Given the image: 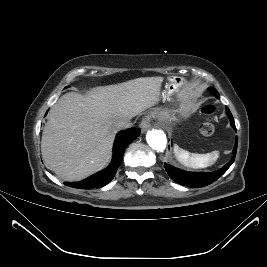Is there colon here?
I'll list each match as a JSON object with an SVG mask.
<instances>
[{"label": "colon", "mask_w": 267, "mask_h": 267, "mask_svg": "<svg viewBox=\"0 0 267 267\" xmlns=\"http://www.w3.org/2000/svg\"><path fill=\"white\" fill-rule=\"evenodd\" d=\"M202 111L209 118L201 125L200 131L204 136H211L215 132V125L212 119V115L215 112V107L212 104L207 103L203 107Z\"/></svg>", "instance_id": "5ec220e1"}]
</instances>
